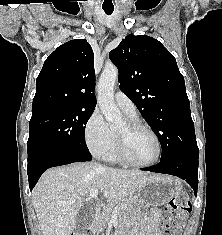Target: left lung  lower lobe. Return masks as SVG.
I'll return each mask as SVG.
<instances>
[{"mask_svg":"<svg viewBox=\"0 0 222 235\" xmlns=\"http://www.w3.org/2000/svg\"><path fill=\"white\" fill-rule=\"evenodd\" d=\"M198 157L199 153H179L160 160L155 166L142 170L177 176L185 180L193 188L196 196L198 186Z\"/></svg>","mask_w":222,"mask_h":235,"instance_id":"0a47b994","label":"left lung lower lobe"}]
</instances>
